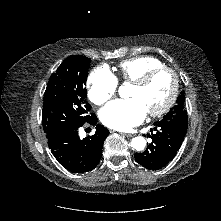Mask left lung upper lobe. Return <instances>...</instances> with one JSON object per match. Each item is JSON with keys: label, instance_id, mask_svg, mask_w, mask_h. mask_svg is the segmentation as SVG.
I'll return each mask as SVG.
<instances>
[{"label": "left lung upper lobe", "instance_id": "5c2ea615", "mask_svg": "<svg viewBox=\"0 0 221 221\" xmlns=\"http://www.w3.org/2000/svg\"><path fill=\"white\" fill-rule=\"evenodd\" d=\"M185 95L181 92L177 99L176 105L170 109V111L162 118V120H167L170 122L179 121L183 124L185 128L188 127L187 112L185 110Z\"/></svg>", "mask_w": 221, "mask_h": 221}]
</instances>
